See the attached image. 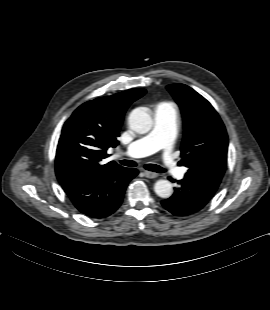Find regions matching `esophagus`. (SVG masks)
Segmentation results:
<instances>
[{
  "label": "esophagus",
  "mask_w": 270,
  "mask_h": 310,
  "mask_svg": "<svg viewBox=\"0 0 270 310\" xmlns=\"http://www.w3.org/2000/svg\"><path fill=\"white\" fill-rule=\"evenodd\" d=\"M144 176L149 179H154L158 177V174L150 171H144Z\"/></svg>",
  "instance_id": "34e87169"
}]
</instances>
